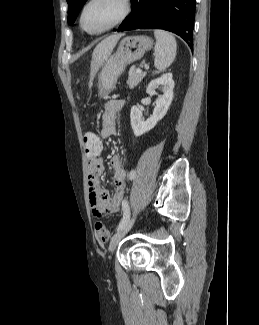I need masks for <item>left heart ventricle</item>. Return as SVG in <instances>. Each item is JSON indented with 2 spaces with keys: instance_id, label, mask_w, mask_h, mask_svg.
Wrapping results in <instances>:
<instances>
[{
  "instance_id": "b2bd125f",
  "label": "left heart ventricle",
  "mask_w": 259,
  "mask_h": 325,
  "mask_svg": "<svg viewBox=\"0 0 259 325\" xmlns=\"http://www.w3.org/2000/svg\"><path fill=\"white\" fill-rule=\"evenodd\" d=\"M122 10L121 0H94L85 10L84 26L89 31L100 30L114 22Z\"/></svg>"
}]
</instances>
